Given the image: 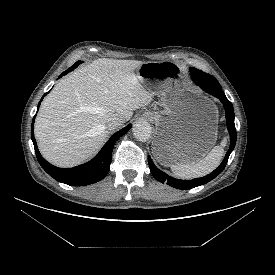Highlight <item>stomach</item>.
Instances as JSON below:
<instances>
[{
	"mask_svg": "<svg viewBox=\"0 0 275 275\" xmlns=\"http://www.w3.org/2000/svg\"><path fill=\"white\" fill-rule=\"evenodd\" d=\"M137 75L162 95L164 110L145 113L156 126L152 142L156 160L164 166L201 160L217 140L214 103L188 86L182 67L174 62H144Z\"/></svg>",
	"mask_w": 275,
	"mask_h": 275,
	"instance_id": "0dacf381",
	"label": "stomach"
}]
</instances>
